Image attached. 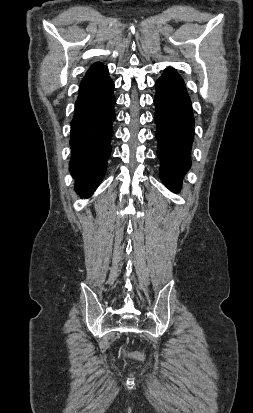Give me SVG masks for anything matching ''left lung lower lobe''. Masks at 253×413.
I'll return each instance as SVG.
<instances>
[{
  "mask_svg": "<svg viewBox=\"0 0 253 413\" xmlns=\"http://www.w3.org/2000/svg\"><path fill=\"white\" fill-rule=\"evenodd\" d=\"M155 115L161 161L160 177L172 191L181 187L182 177L191 166L190 151L194 139L191 100L181 76L172 68L156 81Z\"/></svg>",
  "mask_w": 253,
  "mask_h": 413,
  "instance_id": "0a47b994",
  "label": "left lung lower lobe"
}]
</instances>
